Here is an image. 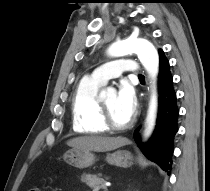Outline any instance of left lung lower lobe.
I'll return each instance as SVG.
<instances>
[{
	"instance_id": "left-lung-lower-lobe-1",
	"label": "left lung lower lobe",
	"mask_w": 210,
	"mask_h": 191,
	"mask_svg": "<svg viewBox=\"0 0 210 191\" xmlns=\"http://www.w3.org/2000/svg\"><path fill=\"white\" fill-rule=\"evenodd\" d=\"M159 59V109L156 129L150 141L145 145L139 142V128L134 132V139L148 159L156 162L164 171L170 174L174 137L178 131L177 118L179 110L176 104L177 98L173 89V77L170 73L169 62L162 50H159Z\"/></svg>"
}]
</instances>
